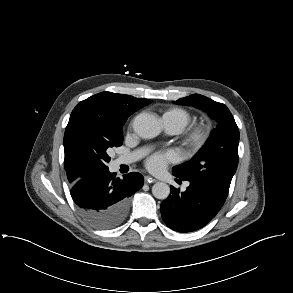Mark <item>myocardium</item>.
<instances>
[{
    "label": "myocardium",
    "mask_w": 293,
    "mask_h": 293,
    "mask_svg": "<svg viewBox=\"0 0 293 293\" xmlns=\"http://www.w3.org/2000/svg\"><path fill=\"white\" fill-rule=\"evenodd\" d=\"M210 132L211 129L208 124L196 123L184 132L183 143L188 149L197 151L206 144Z\"/></svg>",
    "instance_id": "myocardium-1"
}]
</instances>
